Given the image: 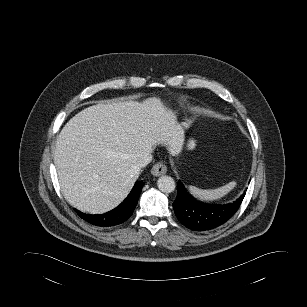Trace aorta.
Wrapping results in <instances>:
<instances>
[{"instance_id": "1", "label": "aorta", "mask_w": 307, "mask_h": 307, "mask_svg": "<svg viewBox=\"0 0 307 307\" xmlns=\"http://www.w3.org/2000/svg\"><path fill=\"white\" fill-rule=\"evenodd\" d=\"M158 189L163 193H171L174 191L176 185L172 177L164 175L157 181Z\"/></svg>"}]
</instances>
